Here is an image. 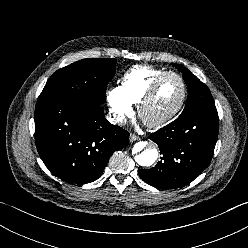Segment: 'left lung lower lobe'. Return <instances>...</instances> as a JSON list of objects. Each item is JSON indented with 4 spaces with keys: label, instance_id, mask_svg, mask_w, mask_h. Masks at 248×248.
Instances as JSON below:
<instances>
[{
    "label": "left lung lower lobe",
    "instance_id": "obj_1",
    "mask_svg": "<svg viewBox=\"0 0 248 248\" xmlns=\"http://www.w3.org/2000/svg\"><path fill=\"white\" fill-rule=\"evenodd\" d=\"M217 137L216 108L178 117L150 136L162 157L155 167L140 169V177L160 189L187 185L209 166Z\"/></svg>",
    "mask_w": 248,
    "mask_h": 248
}]
</instances>
